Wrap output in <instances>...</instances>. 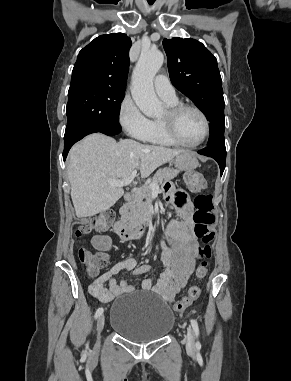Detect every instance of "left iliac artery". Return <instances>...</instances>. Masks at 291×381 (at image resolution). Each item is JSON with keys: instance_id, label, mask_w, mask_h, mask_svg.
Listing matches in <instances>:
<instances>
[{"instance_id": "obj_1", "label": "left iliac artery", "mask_w": 291, "mask_h": 381, "mask_svg": "<svg viewBox=\"0 0 291 381\" xmlns=\"http://www.w3.org/2000/svg\"><path fill=\"white\" fill-rule=\"evenodd\" d=\"M191 325H192V328L196 334V337L198 338L199 336V327H198V323L195 319H191ZM196 347L199 348L201 347V344L199 341L196 342Z\"/></svg>"}]
</instances>
